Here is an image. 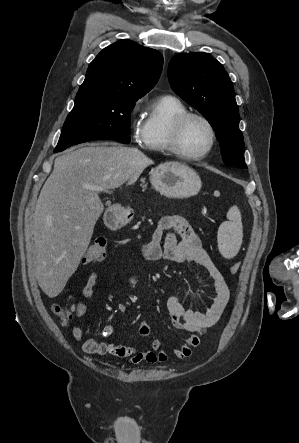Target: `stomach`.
<instances>
[{"mask_svg": "<svg viewBox=\"0 0 299 443\" xmlns=\"http://www.w3.org/2000/svg\"><path fill=\"white\" fill-rule=\"evenodd\" d=\"M150 181L156 191L168 198H188L196 195L201 188V179L193 169L174 162L154 168ZM127 222V215L117 212L110 226L120 228Z\"/></svg>", "mask_w": 299, "mask_h": 443, "instance_id": "1", "label": "stomach"}]
</instances>
